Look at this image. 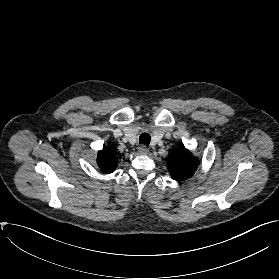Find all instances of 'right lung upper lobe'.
<instances>
[{"label": "right lung upper lobe", "mask_w": 279, "mask_h": 279, "mask_svg": "<svg viewBox=\"0 0 279 279\" xmlns=\"http://www.w3.org/2000/svg\"><path fill=\"white\" fill-rule=\"evenodd\" d=\"M98 165L104 173H111L117 166V158L109 150H102L98 153Z\"/></svg>", "instance_id": "right-lung-upper-lobe-1"}]
</instances>
